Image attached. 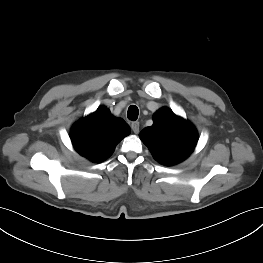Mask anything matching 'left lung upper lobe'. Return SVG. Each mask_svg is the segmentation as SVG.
<instances>
[{
  "instance_id": "5c2ea615",
  "label": "left lung upper lobe",
  "mask_w": 263,
  "mask_h": 263,
  "mask_svg": "<svg viewBox=\"0 0 263 263\" xmlns=\"http://www.w3.org/2000/svg\"><path fill=\"white\" fill-rule=\"evenodd\" d=\"M139 136L156 161L166 166L185 160L198 141L195 127L167 107L153 115V125L144 128Z\"/></svg>"
}]
</instances>
